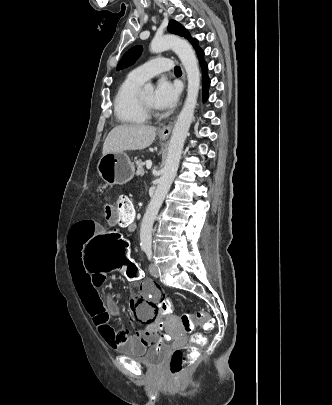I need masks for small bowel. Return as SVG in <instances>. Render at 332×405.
Returning a JSON list of instances; mask_svg holds the SVG:
<instances>
[{"instance_id":"c3829d8e","label":"small bowel","mask_w":332,"mask_h":405,"mask_svg":"<svg viewBox=\"0 0 332 405\" xmlns=\"http://www.w3.org/2000/svg\"><path fill=\"white\" fill-rule=\"evenodd\" d=\"M119 213V209L110 204L104 207L106 219L115 224L118 230L127 227V222H118ZM102 230L93 221H79L71 227L67 244V260L74 286L100 336L110 347L121 349L122 353H148L149 349H156L158 345L154 315L160 313L155 312L160 310L157 301L163 299L165 290L151 288L153 283L142 278L140 289L132 291V296L136 299L131 300L129 305L130 310L134 311L140 320L141 328L135 329V335H127L123 331L115 330L110 324V319L119 311L120 298L117 294H113L107 301L101 299L98 291L103 286L104 277L90 273L84 262L85 250L90 248V240H96L97 234L106 233ZM107 234L119 233L115 231ZM126 254L131 256L128 242Z\"/></svg>"}]
</instances>
